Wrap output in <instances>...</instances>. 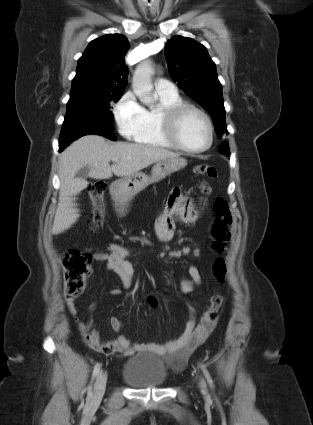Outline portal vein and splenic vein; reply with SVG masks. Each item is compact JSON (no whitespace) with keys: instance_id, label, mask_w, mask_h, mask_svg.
<instances>
[{"instance_id":"portal-vein-and-splenic-vein-1","label":"portal vein and splenic vein","mask_w":313,"mask_h":425,"mask_svg":"<svg viewBox=\"0 0 313 425\" xmlns=\"http://www.w3.org/2000/svg\"><path fill=\"white\" fill-rule=\"evenodd\" d=\"M112 161H113V162H118V160H117V159H113Z\"/></svg>"}]
</instances>
